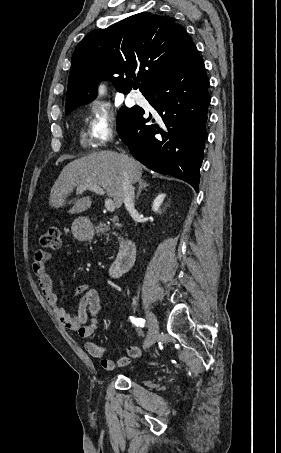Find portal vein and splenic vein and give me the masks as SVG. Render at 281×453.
<instances>
[{
  "instance_id": "portal-vein-and-splenic-vein-1",
  "label": "portal vein and splenic vein",
  "mask_w": 281,
  "mask_h": 453,
  "mask_svg": "<svg viewBox=\"0 0 281 453\" xmlns=\"http://www.w3.org/2000/svg\"><path fill=\"white\" fill-rule=\"evenodd\" d=\"M76 190L78 192H83V190H93V192H97V194H105L104 188L101 186H97V184H88V186H77ZM105 208L113 212L115 210L114 200L112 198H105Z\"/></svg>"
}]
</instances>
